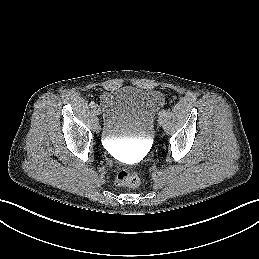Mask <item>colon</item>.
Listing matches in <instances>:
<instances>
[{
  "mask_svg": "<svg viewBox=\"0 0 259 259\" xmlns=\"http://www.w3.org/2000/svg\"><path fill=\"white\" fill-rule=\"evenodd\" d=\"M141 177L137 171L122 169L116 175V183L124 187H137L140 185Z\"/></svg>",
  "mask_w": 259,
  "mask_h": 259,
  "instance_id": "5ec220e1",
  "label": "colon"
}]
</instances>
